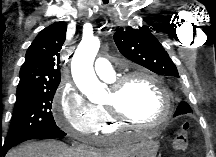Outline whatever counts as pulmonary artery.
<instances>
[{
  "instance_id": "pulmonary-artery-1",
  "label": "pulmonary artery",
  "mask_w": 216,
  "mask_h": 157,
  "mask_svg": "<svg viewBox=\"0 0 216 157\" xmlns=\"http://www.w3.org/2000/svg\"><path fill=\"white\" fill-rule=\"evenodd\" d=\"M94 70L96 74L104 80H112L114 70L110 61L104 57H99L94 63Z\"/></svg>"
}]
</instances>
